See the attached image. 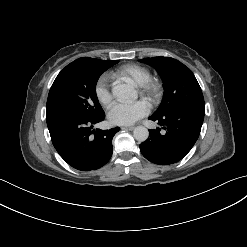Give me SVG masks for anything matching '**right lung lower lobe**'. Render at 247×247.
<instances>
[{
    "label": "right lung lower lobe",
    "instance_id": "1",
    "mask_svg": "<svg viewBox=\"0 0 247 247\" xmlns=\"http://www.w3.org/2000/svg\"><path fill=\"white\" fill-rule=\"evenodd\" d=\"M104 112L93 118L65 117L48 125L53 146L73 168L91 171L104 166L113 153L112 139L119 127L91 130L104 119Z\"/></svg>",
    "mask_w": 247,
    "mask_h": 247
}]
</instances>
